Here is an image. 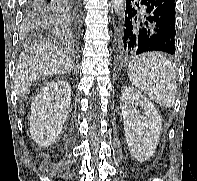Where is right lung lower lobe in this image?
<instances>
[{"instance_id":"98d812e1","label":"right lung lower lobe","mask_w":197,"mask_h":181,"mask_svg":"<svg viewBox=\"0 0 197 181\" xmlns=\"http://www.w3.org/2000/svg\"><path fill=\"white\" fill-rule=\"evenodd\" d=\"M25 24L49 28L67 39L76 37L81 0H27Z\"/></svg>"}]
</instances>
